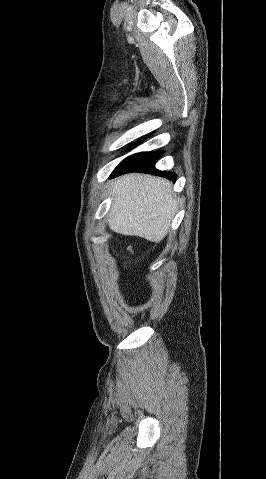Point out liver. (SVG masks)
<instances>
[{
	"label": "liver",
	"instance_id": "1",
	"mask_svg": "<svg viewBox=\"0 0 266 479\" xmlns=\"http://www.w3.org/2000/svg\"><path fill=\"white\" fill-rule=\"evenodd\" d=\"M110 194L114 198L107 223L113 231L151 242L164 239L177 210L169 181L127 174L111 183Z\"/></svg>",
	"mask_w": 266,
	"mask_h": 479
}]
</instances>
